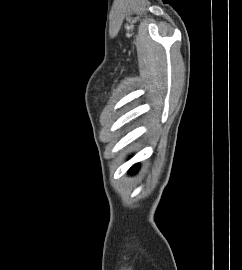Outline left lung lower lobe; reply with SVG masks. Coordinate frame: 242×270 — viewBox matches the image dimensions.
<instances>
[{
    "label": "left lung lower lobe",
    "mask_w": 242,
    "mask_h": 270,
    "mask_svg": "<svg viewBox=\"0 0 242 270\" xmlns=\"http://www.w3.org/2000/svg\"><path fill=\"white\" fill-rule=\"evenodd\" d=\"M137 171V166H133L131 169H130V172L133 173V172H136Z\"/></svg>",
    "instance_id": "obj_1"
}]
</instances>
